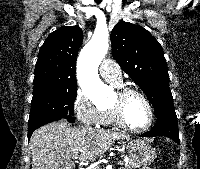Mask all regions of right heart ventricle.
<instances>
[{
	"label": "right heart ventricle",
	"instance_id": "obj_1",
	"mask_svg": "<svg viewBox=\"0 0 200 169\" xmlns=\"http://www.w3.org/2000/svg\"><path fill=\"white\" fill-rule=\"evenodd\" d=\"M102 125H116L113 114L110 109H104L101 117Z\"/></svg>",
	"mask_w": 200,
	"mask_h": 169
}]
</instances>
